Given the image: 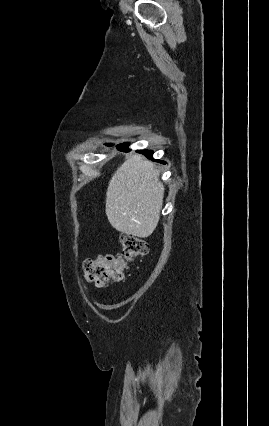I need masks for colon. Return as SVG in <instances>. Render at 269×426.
<instances>
[{"label": "colon", "instance_id": "obj_1", "mask_svg": "<svg viewBox=\"0 0 269 426\" xmlns=\"http://www.w3.org/2000/svg\"><path fill=\"white\" fill-rule=\"evenodd\" d=\"M120 242L122 246L120 256L108 254L85 260L83 276L86 281L97 286L122 281L129 264L148 252L147 242L138 236L122 233Z\"/></svg>", "mask_w": 269, "mask_h": 426}]
</instances>
